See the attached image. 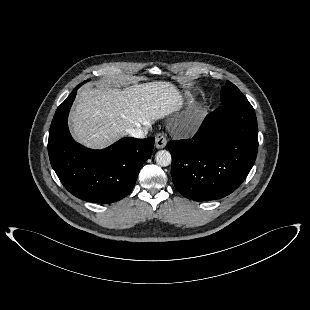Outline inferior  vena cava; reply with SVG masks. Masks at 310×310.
I'll list each match as a JSON object with an SVG mask.
<instances>
[{"label":"inferior vena cava","instance_id":"1","mask_svg":"<svg viewBox=\"0 0 310 310\" xmlns=\"http://www.w3.org/2000/svg\"><path fill=\"white\" fill-rule=\"evenodd\" d=\"M148 127L145 129H142L141 127H136V128H129L126 130V132L134 137V138H145L148 134Z\"/></svg>","mask_w":310,"mask_h":310}]
</instances>
